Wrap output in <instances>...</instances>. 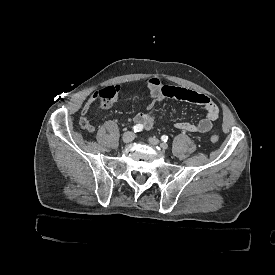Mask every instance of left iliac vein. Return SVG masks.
Wrapping results in <instances>:
<instances>
[{"label": "left iliac vein", "instance_id": "left-iliac-vein-1", "mask_svg": "<svg viewBox=\"0 0 275 275\" xmlns=\"http://www.w3.org/2000/svg\"><path fill=\"white\" fill-rule=\"evenodd\" d=\"M149 142L152 144V145H159L161 148L163 149H166L168 148V145L166 143H161L157 138L155 137H150L149 138Z\"/></svg>", "mask_w": 275, "mask_h": 275}]
</instances>
